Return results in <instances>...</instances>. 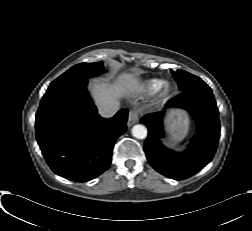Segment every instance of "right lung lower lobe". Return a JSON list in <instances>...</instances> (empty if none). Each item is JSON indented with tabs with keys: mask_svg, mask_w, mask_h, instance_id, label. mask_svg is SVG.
I'll list each match as a JSON object with an SVG mask.
<instances>
[{
	"mask_svg": "<svg viewBox=\"0 0 252 231\" xmlns=\"http://www.w3.org/2000/svg\"><path fill=\"white\" fill-rule=\"evenodd\" d=\"M87 80L50 91L36 113V138L52 171L77 182L91 180L111 163L116 139L126 131L128 110L102 118L86 90Z\"/></svg>",
	"mask_w": 252,
	"mask_h": 231,
	"instance_id": "98d812e1",
	"label": "right lung lower lobe"
}]
</instances>
